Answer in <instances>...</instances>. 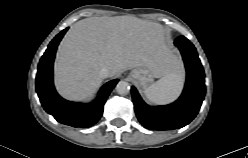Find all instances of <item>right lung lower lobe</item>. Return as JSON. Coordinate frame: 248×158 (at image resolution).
Returning <instances> with one entry per match:
<instances>
[{"instance_id": "right-lung-lower-lobe-1", "label": "right lung lower lobe", "mask_w": 248, "mask_h": 158, "mask_svg": "<svg viewBox=\"0 0 248 158\" xmlns=\"http://www.w3.org/2000/svg\"><path fill=\"white\" fill-rule=\"evenodd\" d=\"M68 28L61 31L49 44L42 56L36 75V91L46 112L58 122L73 127L86 128L94 125L102 116L107 97L118 79L106 83L97 98L90 104L66 101L55 91L52 78L53 62L57 46Z\"/></svg>"}]
</instances>
